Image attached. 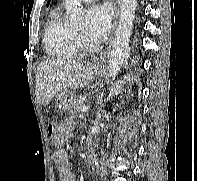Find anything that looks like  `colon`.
<instances>
[{
	"label": "colon",
	"mask_w": 197,
	"mask_h": 181,
	"mask_svg": "<svg viewBox=\"0 0 197 181\" xmlns=\"http://www.w3.org/2000/svg\"><path fill=\"white\" fill-rule=\"evenodd\" d=\"M48 134L55 144H61L63 141V131L59 124L50 123L48 125Z\"/></svg>",
	"instance_id": "5ec220e1"
}]
</instances>
